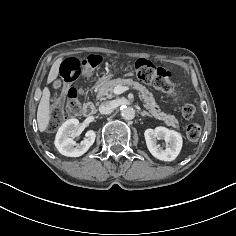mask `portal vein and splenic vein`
I'll return each mask as SVG.
<instances>
[{"instance_id": "portal-vein-and-splenic-vein-1", "label": "portal vein and splenic vein", "mask_w": 236, "mask_h": 236, "mask_svg": "<svg viewBox=\"0 0 236 236\" xmlns=\"http://www.w3.org/2000/svg\"><path fill=\"white\" fill-rule=\"evenodd\" d=\"M126 90H129L128 87H124V86H116L113 90L114 94L116 95H120L122 94L123 92H125Z\"/></svg>"}]
</instances>
